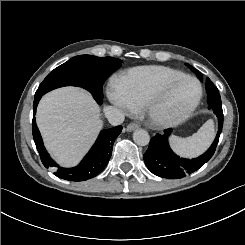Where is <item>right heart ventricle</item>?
<instances>
[{
    "instance_id": "1",
    "label": "right heart ventricle",
    "mask_w": 245,
    "mask_h": 245,
    "mask_svg": "<svg viewBox=\"0 0 245 245\" xmlns=\"http://www.w3.org/2000/svg\"><path fill=\"white\" fill-rule=\"evenodd\" d=\"M184 75L162 66L140 67L131 70L126 79L114 86V91L130 108L135 109L143 106L146 94L157 81Z\"/></svg>"
}]
</instances>
